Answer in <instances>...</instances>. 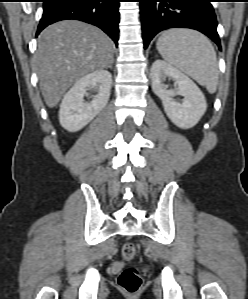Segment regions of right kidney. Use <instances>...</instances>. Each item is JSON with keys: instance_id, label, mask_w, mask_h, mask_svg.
I'll return each instance as SVG.
<instances>
[{"instance_id": "obj_1", "label": "right kidney", "mask_w": 248, "mask_h": 299, "mask_svg": "<svg viewBox=\"0 0 248 299\" xmlns=\"http://www.w3.org/2000/svg\"><path fill=\"white\" fill-rule=\"evenodd\" d=\"M111 84V73L103 69L76 81L61 102L59 111L61 126L70 132L79 131L86 126L108 103ZM90 89L97 91V94L93 96L92 101L86 102L84 96Z\"/></svg>"}]
</instances>
